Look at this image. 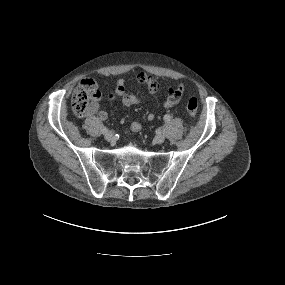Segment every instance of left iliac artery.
Masks as SVG:
<instances>
[{
	"label": "left iliac artery",
	"instance_id": "44dca946",
	"mask_svg": "<svg viewBox=\"0 0 285 285\" xmlns=\"http://www.w3.org/2000/svg\"><path fill=\"white\" fill-rule=\"evenodd\" d=\"M164 120L165 121H170L171 120V116L169 115V114H166L165 116H164ZM158 133H160V131L158 130Z\"/></svg>",
	"mask_w": 285,
	"mask_h": 285
}]
</instances>
